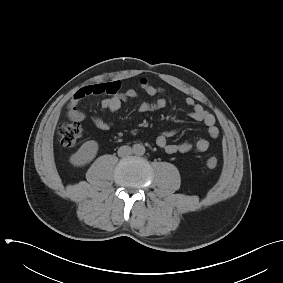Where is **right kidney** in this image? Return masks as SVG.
<instances>
[{"label": "right kidney", "mask_w": 283, "mask_h": 283, "mask_svg": "<svg viewBox=\"0 0 283 283\" xmlns=\"http://www.w3.org/2000/svg\"><path fill=\"white\" fill-rule=\"evenodd\" d=\"M98 151V144L94 140L85 142L70 158L74 166H83L94 159Z\"/></svg>", "instance_id": "1"}]
</instances>
